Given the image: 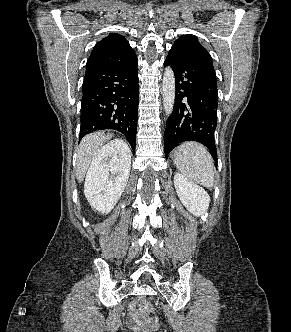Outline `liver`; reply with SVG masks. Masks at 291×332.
Instances as JSON below:
<instances>
[{
    "mask_svg": "<svg viewBox=\"0 0 291 332\" xmlns=\"http://www.w3.org/2000/svg\"><path fill=\"white\" fill-rule=\"evenodd\" d=\"M111 137V134L105 135L104 132H95L86 135L81 140L78 148V156L76 162V177L80 183L83 181L89 165L98 153V151L102 148L103 144ZM127 149L129 156H131V151L128 146Z\"/></svg>",
    "mask_w": 291,
    "mask_h": 332,
    "instance_id": "liver-1",
    "label": "liver"
}]
</instances>
